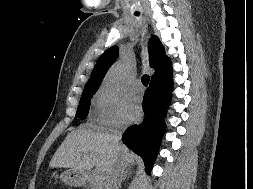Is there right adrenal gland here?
<instances>
[{"instance_id":"right-adrenal-gland-1","label":"right adrenal gland","mask_w":253,"mask_h":189,"mask_svg":"<svg viewBox=\"0 0 253 189\" xmlns=\"http://www.w3.org/2000/svg\"><path fill=\"white\" fill-rule=\"evenodd\" d=\"M130 169H131V167H129V168L127 169L126 174H125V178H127L128 176H130V174H131V172H129ZM125 178H124V179H125Z\"/></svg>"}]
</instances>
